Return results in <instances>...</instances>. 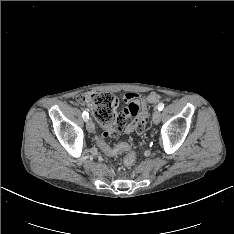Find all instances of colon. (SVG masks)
<instances>
[{
	"label": "colon",
	"mask_w": 234,
	"mask_h": 234,
	"mask_svg": "<svg viewBox=\"0 0 234 234\" xmlns=\"http://www.w3.org/2000/svg\"><path fill=\"white\" fill-rule=\"evenodd\" d=\"M150 103H162L164 98L158 94L152 93L147 97ZM76 102L81 105L88 106L95 118L105 125V131L95 137L96 146L99 152L105 157H116L122 153H128L124 158V165L132 167L136 161V155L132 147L128 143L119 141L109 144L106 140L117 129H122L125 125V118L122 114H117L115 108L117 106V99L114 95L107 92L87 93L77 98Z\"/></svg>",
	"instance_id": "5ec220e1"
}]
</instances>
